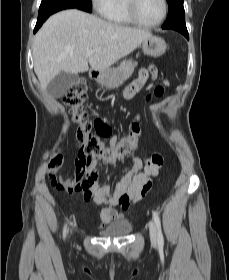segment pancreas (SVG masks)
<instances>
[{
	"label": "pancreas",
	"mask_w": 229,
	"mask_h": 280,
	"mask_svg": "<svg viewBox=\"0 0 229 280\" xmlns=\"http://www.w3.org/2000/svg\"><path fill=\"white\" fill-rule=\"evenodd\" d=\"M134 66L135 64H133L131 61L124 60L123 62L120 63V66L116 70L121 72L124 78H127L133 72Z\"/></svg>",
	"instance_id": "1"
}]
</instances>
